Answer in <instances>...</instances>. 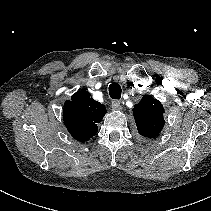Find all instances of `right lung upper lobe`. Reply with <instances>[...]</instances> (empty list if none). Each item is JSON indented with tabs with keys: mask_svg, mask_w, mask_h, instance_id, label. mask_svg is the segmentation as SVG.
Wrapping results in <instances>:
<instances>
[{
	"mask_svg": "<svg viewBox=\"0 0 211 211\" xmlns=\"http://www.w3.org/2000/svg\"><path fill=\"white\" fill-rule=\"evenodd\" d=\"M63 113L69 133L76 140L85 142L97 133V123L102 121L106 108L91 98L88 91L80 90L65 102Z\"/></svg>",
	"mask_w": 211,
	"mask_h": 211,
	"instance_id": "obj_1",
	"label": "right lung upper lobe"
}]
</instances>
